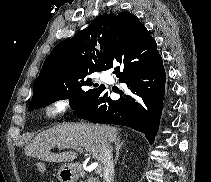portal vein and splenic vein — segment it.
Segmentation results:
<instances>
[{"mask_svg": "<svg viewBox=\"0 0 211 182\" xmlns=\"http://www.w3.org/2000/svg\"><path fill=\"white\" fill-rule=\"evenodd\" d=\"M73 149H76L77 151L79 152H83V148L81 147H74ZM96 173L100 174L102 169H101V166H99L98 164H96V169H95Z\"/></svg>", "mask_w": 211, "mask_h": 182, "instance_id": "1", "label": "portal vein and splenic vein"}]
</instances>
